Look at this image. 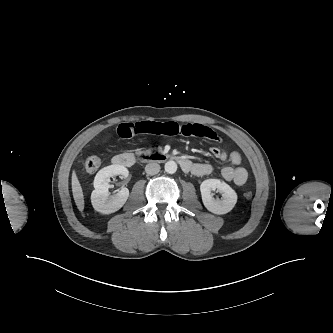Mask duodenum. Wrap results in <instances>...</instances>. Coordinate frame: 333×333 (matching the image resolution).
Instances as JSON below:
<instances>
[{"label":"duodenum","instance_id":"obj_1","mask_svg":"<svg viewBox=\"0 0 333 333\" xmlns=\"http://www.w3.org/2000/svg\"><path fill=\"white\" fill-rule=\"evenodd\" d=\"M137 158L140 160H174L186 173L191 172L194 168V164L191 161L179 155L149 154L147 152H140ZM135 161L136 157L128 152L117 155L113 160L114 164L126 167H131Z\"/></svg>","mask_w":333,"mask_h":333}]
</instances>
